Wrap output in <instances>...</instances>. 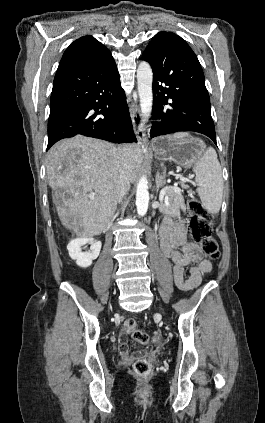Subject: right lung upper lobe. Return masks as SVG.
Wrapping results in <instances>:
<instances>
[{
    "mask_svg": "<svg viewBox=\"0 0 265 423\" xmlns=\"http://www.w3.org/2000/svg\"><path fill=\"white\" fill-rule=\"evenodd\" d=\"M113 62V57L105 46L92 36H84L67 48L57 71L86 64L108 65Z\"/></svg>",
    "mask_w": 265,
    "mask_h": 423,
    "instance_id": "1",
    "label": "right lung upper lobe"
}]
</instances>
